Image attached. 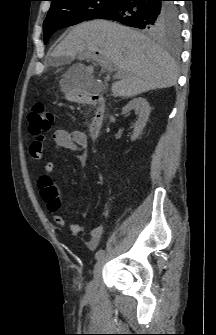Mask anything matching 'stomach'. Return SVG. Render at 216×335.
I'll list each match as a JSON object with an SVG mask.
<instances>
[{
    "label": "stomach",
    "instance_id": "stomach-1",
    "mask_svg": "<svg viewBox=\"0 0 216 335\" xmlns=\"http://www.w3.org/2000/svg\"><path fill=\"white\" fill-rule=\"evenodd\" d=\"M61 86L65 88V97L71 102H79L84 97V92L78 88L68 87L66 79L61 80Z\"/></svg>",
    "mask_w": 216,
    "mask_h": 335
}]
</instances>
